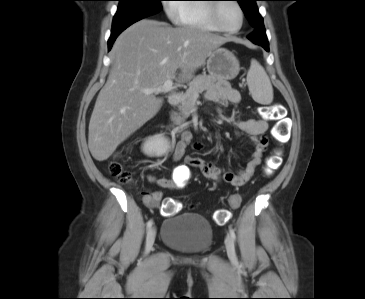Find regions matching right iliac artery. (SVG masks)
Segmentation results:
<instances>
[{
    "mask_svg": "<svg viewBox=\"0 0 365 299\" xmlns=\"http://www.w3.org/2000/svg\"><path fill=\"white\" fill-rule=\"evenodd\" d=\"M152 225H153V221H152V220H149V221L147 222V230H150V229H151V227H152Z\"/></svg>",
    "mask_w": 365,
    "mask_h": 299,
    "instance_id": "1",
    "label": "right iliac artery"
}]
</instances>
